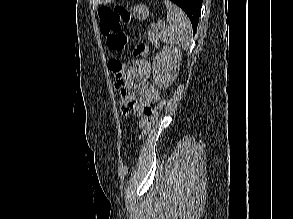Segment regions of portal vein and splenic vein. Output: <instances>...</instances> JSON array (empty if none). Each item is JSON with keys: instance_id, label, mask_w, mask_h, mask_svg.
Wrapping results in <instances>:
<instances>
[{"instance_id": "1", "label": "portal vein and splenic vein", "mask_w": 293, "mask_h": 219, "mask_svg": "<svg viewBox=\"0 0 293 219\" xmlns=\"http://www.w3.org/2000/svg\"><path fill=\"white\" fill-rule=\"evenodd\" d=\"M166 25H165V23H160V22H158V23H154V24H152V30H158V29H161V28H164Z\"/></svg>"}]
</instances>
